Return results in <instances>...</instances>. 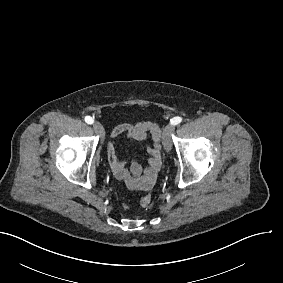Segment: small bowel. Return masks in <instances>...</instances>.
<instances>
[{
  "label": "small bowel",
  "mask_w": 283,
  "mask_h": 283,
  "mask_svg": "<svg viewBox=\"0 0 283 283\" xmlns=\"http://www.w3.org/2000/svg\"><path fill=\"white\" fill-rule=\"evenodd\" d=\"M121 136H126L133 141H144L147 138L151 139L149 147V166L145 169L142 178L130 180V172L122 160H120L116 153V146L114 142H110L107 147V157L114 177L122 183L126 184L129 189H137L143 186L144 181L155 182L157 174L162 165L161 157V129L153 122L139 121L136 123H123L116 125L111 131V138L117 139ZM130 162L136 161L135 155L129 156ZM141 164H147L148 158L145 155L139 156ZM130 169L134 174H139L140 166L136 163L130 164Z\"/></svg>",
  "instance_id": "c3829d8e"
}]
</instances>
